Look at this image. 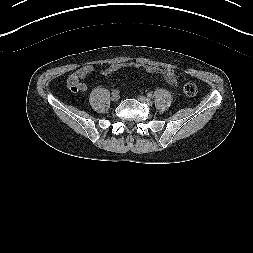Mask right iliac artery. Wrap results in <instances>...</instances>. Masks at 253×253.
Masks as SVG:
<instances>
[{"label":"right iliac artery","instance_id":"1","mask_svg":"<svg viewBox=\"0 0 253 253\" xmlns=\"http://www.w3.org/2000/svg\"><path fill=\"white\" fill-rule=\"evenodd\" d=\"M119 93V90L118 89H115L112 91V94H118Z\"/></svg>","mask_w":253,"mask_h":253}]
</instances>
